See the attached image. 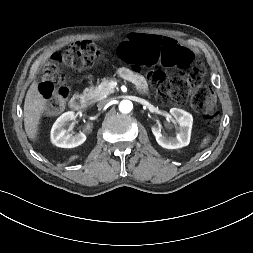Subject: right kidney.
<instances>
[{
	"label": "right kidney",
	"instance_id": "right-kidney-1",
	"mask_svg": "<svg viewBox=\"0 0 253 253\" xmlns=\"http://www.w3.org/2000/svg\"><path fill=\"white\" fill-rule=\"evenodd\" d=\"M76 119V115L73 111L63 113L53 124L51 129V141L54 145L61 148H74L86 141V134L80 132L73 136L70 133V129H66L65 126L69 122ZM92 130V125L88 124L85 128L86 132Z\"/></svg>",
	"mask_w": 253,
	"mask_h": 253
}]
</instances>
